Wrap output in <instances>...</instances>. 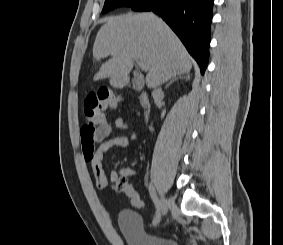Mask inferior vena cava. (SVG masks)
<instances>
[{"label":"inferior vena cava","mask_w":283,"mask_h":245,"mask_svg":"<svg viewBox=\"0 0 283 245\" xmlns=\"http://www.w3.org/2000/svg\"><path fill=\"white\" fill-rule=\"evenodd\" d=\"M161 93H162L161 88L155 89V90L153 91V95H159V94H161Z\"/></svg>","instance_id":"inferior-vena-cava-1"}]
</instances>
